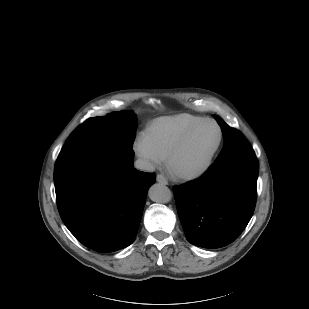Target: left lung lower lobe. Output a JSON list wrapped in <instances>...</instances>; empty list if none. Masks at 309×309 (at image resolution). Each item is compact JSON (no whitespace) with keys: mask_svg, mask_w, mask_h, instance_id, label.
I'll return each mask as SVG.
<instances>
[{"mask_svg":"<svg viewBox=\"0 0 309 309\" xmlns=\"http://www.w3.org/2000/svg\"><path fill=\"white\" fill-rule=\"evenodd\" d=\"M258 161L253 149L217 160L199 179L173 191L187 240L203 248L232 243L250 221Z\"/></svg>","mask_w":309,"mask_h":309,"instance_id":"1","label":"left lung lower lobe"}]
</instances>
